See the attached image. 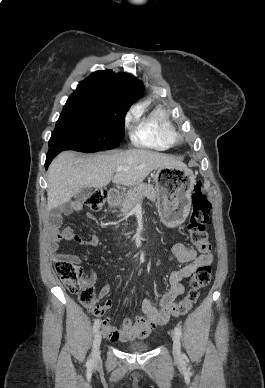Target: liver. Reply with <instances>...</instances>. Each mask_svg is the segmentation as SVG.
<instances>
[{
	"instance_id": "liver-1",
	"label": "liver",
	"mask_w": 265,
	"mask_h": 388,
	"mask_svg": "<svg viewBox=\"0 0 265 388\" xmlns=\"http://www.w3.org/2000/svg\"><path fill=\"white\" fill-rule=\"evenodd\" d=\"M126 166L130 170L117 172ZM157 168H186L183 162L150 150H125L119 154H97L93 158H76L74 152L59 154L48 170L47 210L67 204L83 188H104L113 184L137 186Z\"/></svg>"
}]
</instances>
